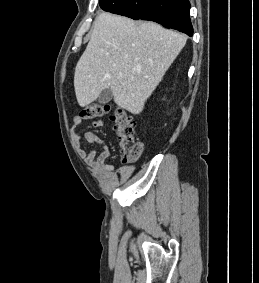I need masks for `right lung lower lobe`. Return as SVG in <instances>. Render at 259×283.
I'll use <instances>...</instances> for the list:
<instances>
[{
  "label": "right lung lower lobe",
  "instance_id": "1",
  "mask_svg": "<svg viewBox=\"0 0 259 283\" xmlns=\"http://www.w3.org/2000/svg\"><path fill=\"white\" fill-rule=\"evenodd\" d=\"M99 5L107 12L134 20L155 21L166 28L193 35L188 0H99Z\"/></svg>",
  "mask_w": 259,
  "mask_h": 283
}]
</instances>
